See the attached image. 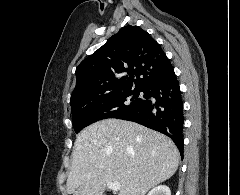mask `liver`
I'll return each mask as SVG.
<instances>
[{
	"instance_id": "1",
	"label": "liver",
	"mask_w": 240,
	"mask_h": 195,
	"mask_svg": "<svg viewBox=\"0 0 240 195\" xmlns=\"http://www.w3.org/2000/svg\"><path fill=\"white\" fill-rule=\"evenodd\" d=\"M179 159L164 133L135 121L101 119L78 133L66 189L72 195H103L107 181H120L118 195H145L175 173Z\"/></svg>"
}]
</instances>
